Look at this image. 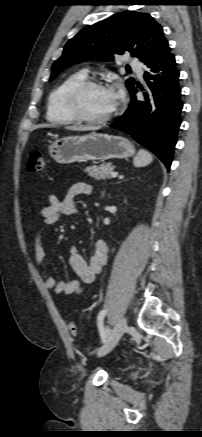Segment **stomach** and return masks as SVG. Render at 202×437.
Instances as JSON below:
<instances>
[{
    "mask_svg": "<svg viewBox=\"0 0 202 437\" xmlns=\"http://www.w3.org/2000/svg\"><path fill=\"white\" fill-rule=\"evenodd\" d=\"M49 154L62 164L88 160L103 162L131 157L135 149L127 138L93 132L58 139L49 146Z\"/></svg>",
    "mask_w": 202,
    "mask_h": 437,
    "instance_id": "obj_1",
    "label": "stomach"
}]
</instances>
